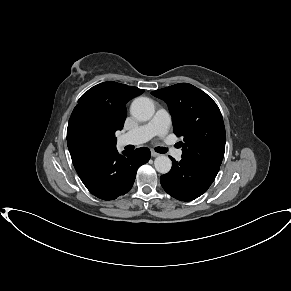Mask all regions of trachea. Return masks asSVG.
Masks as SVG:
<instances>
[{"mask_svg":"<svg viewBox=\"0 0 291 291\" xmlns=\"http://www.w3.org/2000/svg\"><path fill=\"white\" fill-rule=\"evenodd\" d=\"M155 151L158 153H166L168 151V149L165 147H156Z\"/></svg>","mask_w":291,"mask_h":291,"instance_id":"1","label":"trachea"}]
</instances>
